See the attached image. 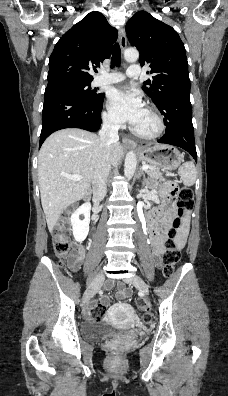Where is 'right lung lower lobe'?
I'll return each mask as SVG.
<instances>
[{
	"label": "right lung lower lobe",
	"instance_id": "right-lung-lower-lobe-1",
	"mask_svg": "<svg viewBox=\"0 0 228 396\" xmlns=\"http://www.w3.org/2000/svg\"><path fill=\"white\" fill-rule=\"evenodd\" d=\"M103 100L104 94L97 101L87 102L67 91L45 92L39 145L41 146L50 134L64 128L97 131L101 125Z\"/></svg>",
	"mask_w": 228,
	"mask_h": 396
}]
</instances>
